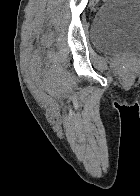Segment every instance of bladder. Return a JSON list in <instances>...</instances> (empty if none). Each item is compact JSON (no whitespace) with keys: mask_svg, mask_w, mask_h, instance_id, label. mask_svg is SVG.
<instances>
[{"mask_svg":"<svg viewBox=\"0 0 140 196\" xmlns=\"http://www.w3.org/2000/svg\"><path fill=\"white\" fill-rule=\"evenodd\" d=\"M91 41L104 53L140 56V0H107L94 15Z\"/></svg>","mask_w":140,"mask_h":196,"instance_id":"1","label":"bladder"}]
</instances>
